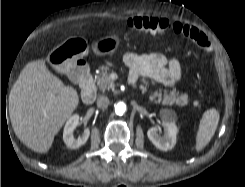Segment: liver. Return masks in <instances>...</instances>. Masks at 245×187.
<instances>
[{
    "mask_svg": "<svg viewBox=\"0 0 245 187\" xmlns=\"http://www.w3.org/2000/svg\"><path fill=\"white\" fill-rule=\"evenodd\" d=\"M78 103L77 91L53 75L45 60L29 62L9 95L13 130L25 146L46 153Z\"/></svg>",
    "mask_w": 245,
    "mask_h": 187,
    "instance_id": "1",
    "label": "liver"
}]
</instances>
